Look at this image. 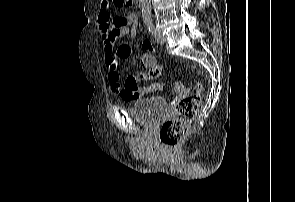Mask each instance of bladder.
I'll use <instances>...</instances> for the list:
<instances>
[{"mask_svg": "<svg viewBox=\"0 0 295 202\" xmlns=\"http://www.w3.org/2000/svg\"><path fill=\"white\" fill-rule=\"evenodd\" d=\"M167 102L161 96H149L139 99L130 108L132 117L143 125L158 123L167 112Z\"/></svg>", "mask_w": 295, "mask_h": 202, "instance_id": "bladder-1", "label": "bladder"}]
</instances>
